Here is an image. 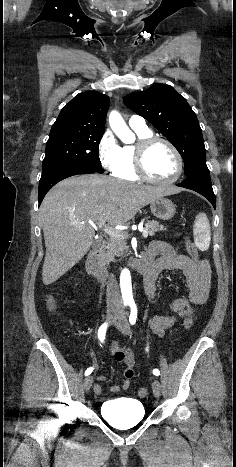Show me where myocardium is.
<instances>
[{
    "label": "myocardium",
    "mask_w": 236,
    "mask_h": 467,
    "mask_svg": "<svg viewBox=\"0 0 236 467\" xmlns=\"http://www.w3.org/2000/svg\"><path fill=\"white\" fill-rule=\"evenodd\" d=\"M155 143H163L169 149L173 152L176 160H177V171L176 174L167 180H159L153 178L149 172L146 169V156L150 150V148L155 144ZM135 152V171L137 175L142 178L143 180L153 183V184H159V185H168V184H173L176 181L179 180V178L182 176L183 171H184V161L182 158L181 153L177 149V147L168 139L159 137V136H154L150 135L148 137H144L138 140L137 144L135 145L134 148Z\"/></svg>",
    "instance_id": "1"
}]
</instances>
